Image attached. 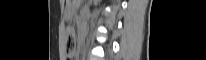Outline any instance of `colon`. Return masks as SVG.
Instances as JSON below:
<instances>
[{"mask_svg":"<svg viewBox=\"0 0 206 60\" xmlns=\"http://www.w3.org/2000/svg\"><path fill=\"white\" fill-rule=\"evenodd\" d=\"M67 60H73L75 50V35L72 25L66 28Z\"/></svg>","mask_w":206,"mask_h":60,"instance_id":"obj_1","label":"colon"}]
</instances>
